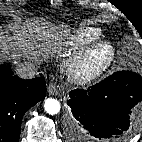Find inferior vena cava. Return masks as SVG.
I'll use <instances>...</instances> for the list:
<instances>
[{
  "instance_id": "inferior-vena-cava-1",
  "label": "inferior vena cava",
  "mask_w": 142,
  "mask_h": 142,
  "mask_svg": "<svg viewBox=\"0 0 142 142\" xmlns=\"http://www.w3.org/2000/svg\"><path fill=\"white\" fill-rule=\"evenodd\" d=\"M16 74L22 79H32L37 74L35 65L31 62H24L16 67Z\"/></svg>"
}]
</instances>
